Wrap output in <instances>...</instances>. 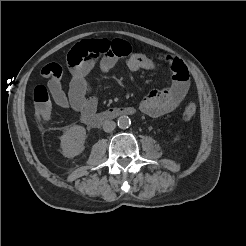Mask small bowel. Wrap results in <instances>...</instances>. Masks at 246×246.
I'll use <instances>...</instances> for the list:
<instances>
[{
  "label": "small bowel",
  "mask_w": 246,
  "mask_h": 246,
  "mask_svg": "<svg viewBox=\"0 0 246 246\" xmlns=\"http://www.w3.org/2000/svg\"><path fill=\"white\" fill-rule=\"evenodd\" d=\"M126 58L131 71H158V62L167 64L171 78L161 90L148 93L140 102V110L158 117L175 110L185 99L189 90V74L185 64L178 58L158 52L154 58L135 52L124 40L91 39L77 43L68 53L67 66L71 75L69 92L61 86L62 68L57 63L45 65L41 75L48 79V89L55 104L72 109L82 115L94 113L98 100L91 95L88 75L98 65L100 71L108 73L119 59Z\"/></svg>",
  "instance_id": "obj_1"
}]
</instances>
